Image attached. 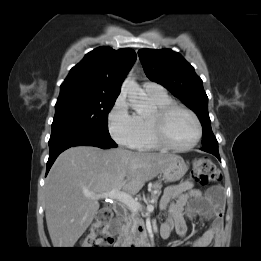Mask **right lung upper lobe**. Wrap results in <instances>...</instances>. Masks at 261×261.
Masks as SVG:
<instances>
[{
  "instance_id": "obj_1",
  "label": "right lung upper lobe",
  "mask_w": 261,
  "mask_h": 261,
  "mask_svg": "<svg viewBox=\"0 0 261 261\" xmlns=\"http://www.w3.org/2000/svg\"><path fill=\"white\" fill-rule=\"evenodd\" d=\"M135 58L136 53L130 48L98 47L70 70L61 84L60 95L118 96Z\"/></svg>"
}]
</instances>
